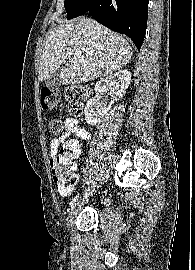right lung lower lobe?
I'll return each mask as SVG.
<instances>
[{
    "instance_id": "right-lung-lower-lobe-1",
    "label": "right lung lower lobe",
    "mask_w": 195,
    "mask_h": 270,
    "mask_svg": "<svg viewBox=\"0 0 195 270\" xmlns=\"http://www.w3.org/2000/svg\"><path fill=\"white\" fill-rule=\"evenodd\" d=\"M149 0H84L97 22L129 36L140 50L147 27Z\"/></svg>"
}]
</instances>
